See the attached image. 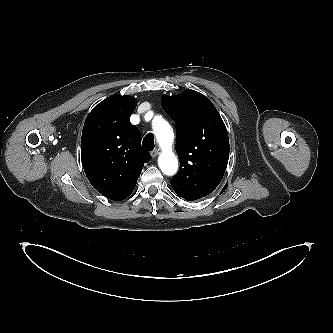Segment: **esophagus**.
Masks as SVG:
<instances>
[{
	"label": "esophagus",
	"mask_w": 333,
	"mask_h": 333,
	"mask_svg": "<svg viewBox=\"0 0 333 333\" xmlns=\"http://www.w3.org/2000/svg\"><path fill=\"white\" fill-rule=\"evenodd\" d=\"M158 154H159L158 149H154L150 152V155H151L152 158H155Z\"/></svg>",
	"instance_id": "1"
}]
</instances>
